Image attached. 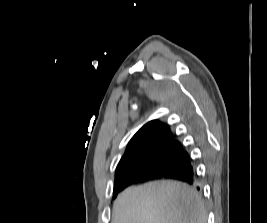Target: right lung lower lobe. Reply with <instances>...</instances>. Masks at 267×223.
Listing matches in <instances>:
<instances>
[{
    "label": "right lung lower lobe",
    "instance_id": "1",
    "mask_svg": "<svg viewBox=\"0 0 267 223\" xmlns=\"http://www.w3.org/2000/svg\"><path fill=\"white\" fill-rule=\"evenodd\" d=\"M159 178H170L183 181L190 185L195 184L196 175L189 154L187 153L183 159L168 172L137 170L116 177L114 184L115 196L119 191L131 184Z\"/></svg>",
    "mask_w": 267,
    "mask_h": 223
}]
</instances>
